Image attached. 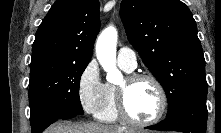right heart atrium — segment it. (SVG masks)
I'll return each instance as SVG.
<instances>
[{
    "instance_id": "obj_1",
    "label": "right heart atrium",
    "mask_w": 221,
    "mask_h": 133,
    "mask_svg": "<svg viewBox=\"0 0 221 133\" xmlns=\"http://www.w3.org/2000/svg\"><path fill=\"white\" fill-rule=\"evenodd\" d=\"M104 89L99 66L91 60L81 71L77 84L78 100L85 112L97 113L104 98Z\"/></svg>"
}]
</instances>
